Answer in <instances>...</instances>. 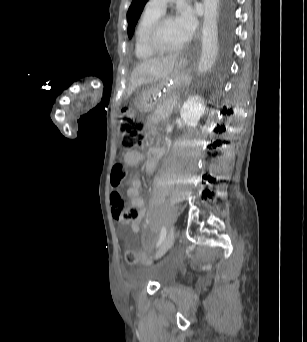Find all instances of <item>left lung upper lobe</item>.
<instances>
[{"instance_id": "1", "label": "left lung upper lobe", "mask_w": 307, "mask_h": 342, "mask_svg": "<svg viewBox=\"0 0 307 342\" xmlns=\"http://www.w3.org/2000/svg\"><path fill=\"white\" fill-rule=\"evenodd\" d=\"M148 0H133L132 4L127 12L128 21V36L132 37L134 27L142 13V10ZM231 19L230 9L225 6L222 10V21H223V33H224V43L226 45V38L229 34V22Z\"/></svg>"}]
</instances>
